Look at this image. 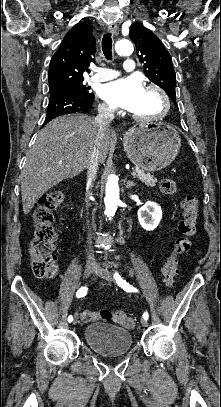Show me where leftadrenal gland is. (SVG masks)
Here are the masks:
<instances>
[{"mask_svg": "<svg viewBox=\"0 0 221 407\" xmlns=\"http://www.w3.org/2000/svg\"><path fill=\"white\" fill-rule=\"evenodd\" d=\"M124 183L127 189H130L135 186V183L133 181L130 180L127 181V179L124 180Z\"/></svg>", "mask_w": 221, "mask_h": 407, "instance_id": "a2214340", "label": "left adrenal gland"}]
</instances>
